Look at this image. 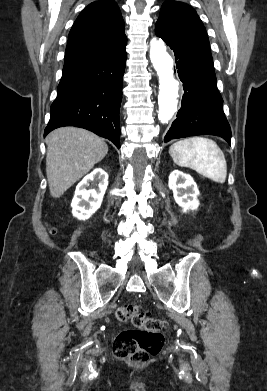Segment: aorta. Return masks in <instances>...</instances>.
Listing matches in <instances>:
<instances>
[{
	"instance_id": "762f6f07",
	"label": "aorta",
	"mask_w": 267,
	"mask_h": 391,
	"mask_svg": "<svg viewBox=\"0 0 267 391\" xmlns=\"http://www.w3.org/2000/svg\"><path fill=\"white\" fill-rule=\"evenodd\" d=\"M150 59L159 78L158 118L168 123L177 110L179 83L173 75V59L161 39L150 42Z\"/></svg>"
}]
</instances>
